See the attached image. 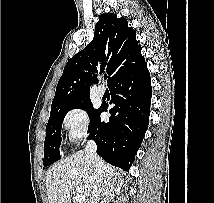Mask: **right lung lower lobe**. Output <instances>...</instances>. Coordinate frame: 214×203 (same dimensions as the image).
<instances>
[{"label":"right lung lower lobe","instance_id":"right-lung-lower-lobe-1","mask_svg":"<svg viewBox=\"0 0 214 203\" xmlns=\"http://www.w3.org/2000/svg\"><path fill=\"white\" fill-rule=\"evenodd\" d=\"M109 89L115 104L109 122L101 121L100 114L108 107L102 104L88 139L96 142L97 153L106 162L129 171L149 123L152 89L146 63L113 81Z\"/></svg>","mask_w":214,"mask_h":203}]
</instances>
